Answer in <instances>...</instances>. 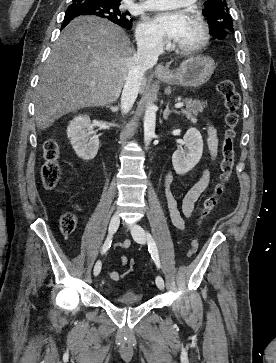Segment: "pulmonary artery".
<instances>
[{
    "label": "pulmonary artery",
    "mask_w": 276,
    "mask_h": 363,
    "mask_svg": "<svg viewBox=\"0 0 276 363\" xmlns=\"http://www.w3.org/2000/svg\"><path fill=\"white\" fill-rule=\"evenodd\" d=\"M194 1L195 0H147L142 5V7L144 9L152 10L176 9L182 6L189 5Z\"/></svg>",
    "instance_id": "pulmonary-artery-1"
}]
</instances>
